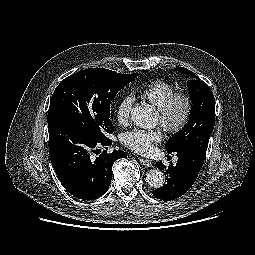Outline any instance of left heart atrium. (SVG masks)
Masks as SVG:
<instances>
[{"instance_id": "obj_1", "label": "left heart atrium", "mask_w": 255, "mask_h": 255, "mask_svg": "<svg viewBox=\"0 0 255 255\" xmlns=\"http://www.w3.org/2000/svg\"><path fill=\"white\" fill-rule=\"evenodd\" d=\"M161 137V132L158 129H134L122 134L121 142L137 153L148 154L153 150L154 143L160 141Z\"/></svg>"}]
</instances>
